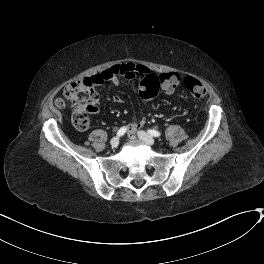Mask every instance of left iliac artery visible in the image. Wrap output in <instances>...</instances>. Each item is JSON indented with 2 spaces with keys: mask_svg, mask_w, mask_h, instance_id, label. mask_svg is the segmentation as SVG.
Returning a JSON list of instances; mask_svg holds the SVG:
<instances>
[{
  "mask_svg": "<svg viewBox=\"0 0 264 264\" xmlns=\"http://www.w3.org/2000/svg\"><path fill=\"white\" fill-rule=\"evenodd\" d=\"M148 133L151 136H154V137H159L161 135V133L159 131H157V130H151V129L148 130Z\"/></svg>",
  "mask_w": 264,
  "mask_h": 264,
  "instance_id": "44dca946",
  "label": "left iliac artery"
}]
</instances>
